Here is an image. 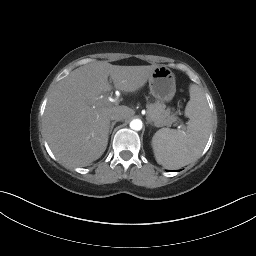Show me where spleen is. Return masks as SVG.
<instances>
[{
	"label": "spleen",
	"mask_w": 256,
	"mask_h": 256,
	"mask_svg": "<svg viewBox=\"0 0 256 256\" xmlns=\"http://www.w3.org/2000/svg\"><path fill=\"white\" fill-rule=\"evenodd\" d=\"M189 92L190 100L185 108L189 118L186 132L162 128L152 138L155 159L167 169L181 168L196 160L210 134V110L205 95L195 84L190 85Z\"/></svg>",
	"instance_id": "3e777b00"
}]
</instances>
